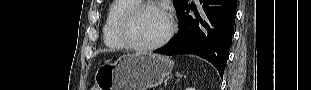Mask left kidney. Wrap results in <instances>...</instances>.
I'll use <instances>...</instances> for the list:
<instances>
[{
    "mask_svg": "<svg viewBox=\"0 0 311 90\" xmlns=\"http://www.w3.org/2000/svg\"><path fill=\"white\" fill-rule=\"evenodd\" d=\"M187 90H195L194 88H187Z\"/></svg>",
    "mask_w": 311,
    "mask_h": 90,
    "instance_id": "1",
    "label": "left kidney"
}]
</instances>
